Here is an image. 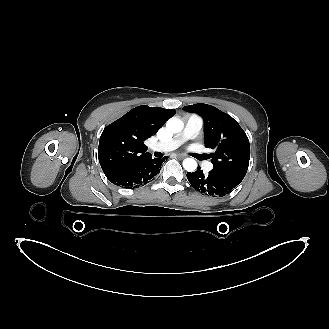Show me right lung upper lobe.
Listing matches in <instances>:
<instances>
[{"mask_svg": "<svg viewBox=\"0 0 329 329\" xmlns=\"http://www.w3.org/2000/svg\"><path fill=\"white\" fill-rule=\"evenodd\" d=\"M173 109L133 108L104 128L98 146V158L105 175L126 170L143 159L152 157L144 142L174 114Z\"/></svg>", "mask_w": 329, "mask_h": 329, "instance_id": "cb5924a9", "label": "right lung upper lobe"}]
</instances>
